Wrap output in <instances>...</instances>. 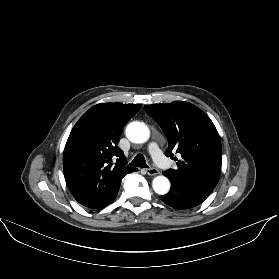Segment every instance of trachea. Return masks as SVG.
<instances>
[{"label": "trachea", "instance_id": "obj_1", "mask_svg": "<svg viewBox=\"0 0 279 279\" xmlns=\"http://www.w3.org/2000/svg\"><path fill=\"white\" fill-rule=\"evenodd\" d=\"M129 166H135V167H141V168H148V165L146 164L145 158L142 154H138L132 162L129 164Z\"/></svg>", "mask_w": 279, "mask_h": 279}]
</instances>
